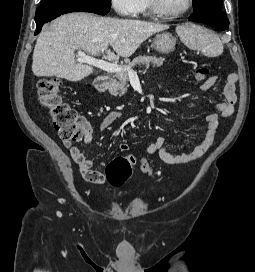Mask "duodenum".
Segmentation results:
<instances>
[{"instance_id":"410a0bca","label":"duodenum","mask_w":255,"mask_h":272,"mask_svg":"<svg viewBox=\"0 0 255 272\" xmlns=\"http://www.w3.org/2000/svg\"><path fill=\"white\" fill-rule=\"evenodd\" d=\"M113 82V78L108 75H100L95 80V88L99 93H106Z\"/></svg>"}]
</instances>
